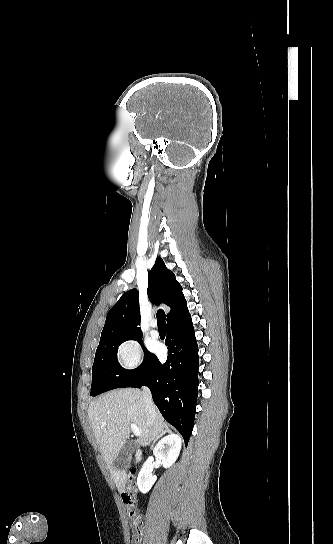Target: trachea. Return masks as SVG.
<instances>
[{"mask_svg":"<svg viewBox=\"0 0 333 544\" xmlns=\"http://www.w3.org/2000/svg\"><path fill=\"white\" fill-rule=\"evenodd\" d=\"M158 329H166V316L165 312L162 309H159L156 313Z\"/></svg>","mask_w":333,"mask_h":544,"instance_id":"obj_1","label":"trachea"}]
</instances>
